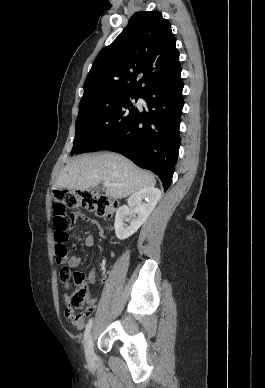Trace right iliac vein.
Returning a JSON list of instances; mask_svg holds the SVG:
<instances>
[{
	"label": "right iliac vein",
	"instance_id": "1",
	"mask_svg": "<svg viewBox=\"0 0 265 388\" xmlns=\"http://www.w3.org/2000/svg\"><path fill=\"white\" fill-rule=\"evenodd\" d=\"M84 349H85L86 360L88 362L93 361L94 350H93V336H92V334L88 335V337L86 338Z\"/></svg>",
	"mask_w": 265,
	"mask_h": 388
}]
</instances>
